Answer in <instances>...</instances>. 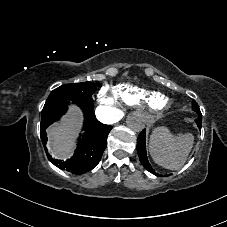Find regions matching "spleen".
Returning <instances> with one entry per match:
<instances>
[{"label": "spleen", "mask_w": 227, "mask_h": 227, "mask_svg": "<svg viewBox=\"0 0 227 227\" xmlns=\"http://www.w3.org/2000/svg\"><path fill=\"white\" fill-rule=\"evenodd\" d=\"M191 133L172 135L168 128L157 127L150 135L149 152L154 162L170 170L180 169L193 147Z\"/></svg>", "instance_id": "spleen-1"}]
</instances>
